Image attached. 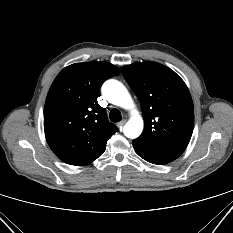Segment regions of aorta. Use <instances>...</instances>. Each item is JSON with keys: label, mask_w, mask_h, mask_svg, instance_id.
<instances>
[{"label": "aorta", "mask_w": 233, "mask_h": 233, "mask_svg": "<svg viewBox=\"0 0 233 233\" xmlns=\"http://www.w3.org/2000/svg\"><path fill=\"white\" fill-rule=\"evenodd\" d=\"M104 97L112 104L131 109L134 107L132 98L126 87L119 81L107 80L102 87ZM143 130V119L138 112L134 111L133 116L124 126V135L128 138L135 139L140 136Z\"/></svg>", "instance_id": "aorta-1"}]
</instances>
